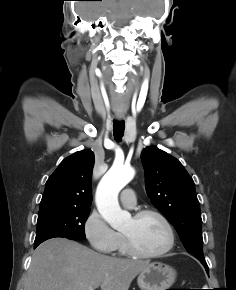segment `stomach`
I'll list each match as a JSON object with an SVG mask.
<instances>
[{
    "label": "stomach",
    "mask_w": 236,
    "mask_h": 290,
    "mask_svg": "<svg viewBox=\"0 0 236 290\" xmlns=\"http://www.w3.org/2000/svg\"><path fill=\"white\" fill-rule=\"evenodd\" d=\"M176 279V271L163 263L149 264L137 277L141 290H166L170 289Z\"/></svg>",
    "instance_id": "1"
}]
</instances>
